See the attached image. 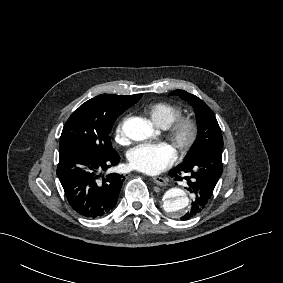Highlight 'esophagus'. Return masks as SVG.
<instances>
[{
  "label": "esophagus",
  "instance_id": "obj_1",
  "mask_svg": "<svg viewBox=\"0 0 283 283\" xmlns=\"http://www.w3.org/2000/svg\"><path fill=\"white\" fill-rule=\"evenodd\" d=\"M153 180L159 186H166L168 184V180L160 176H154Z\"/></svg>",
  "mask_w": 283,
  "mask_h": 283
}]
</instances>
